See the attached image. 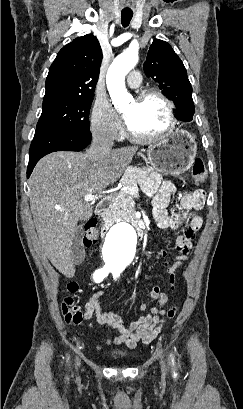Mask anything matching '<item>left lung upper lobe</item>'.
Instances as JSON below:
<instances>
[{
	"instance_id": "1",
	"label": "left lung upper lobe",
	"mask_w": 243,
	"mask_h": 409,
	"mask_svg": "<svg viewBox=\"0 0 243 409\" xmlns=\"http://www.w3.org/2000/svg\"><path fill=\"white\" fill-rule=\"evenodd\" d=\"M145 74L155 79L162 93L176 105V116L182 121H191L195 112L192 87L181 59L165 41L154 39L146 62Z\"/></svg>"
}]
</instances>
